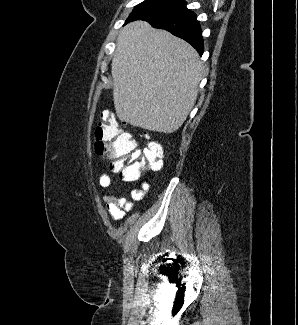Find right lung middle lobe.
I'll list each match as a JSON object with an SVG mask.
<instances>
[{"label": "right lung middle lobe", "mask_w": 298, "mask_h": 325, "mask_svg": "<svg viewBox=\"0 0 298 325\" xmlns=\"http://www.w3.org/2000/svg\"><path fill=\"white\" fill-rule=\"evenodd\" d=\"M186 7L184 0H145L135 6L128 20H147L176 12Z\"/></svg>", "instance_id": "obj_1"}]
</instances>
